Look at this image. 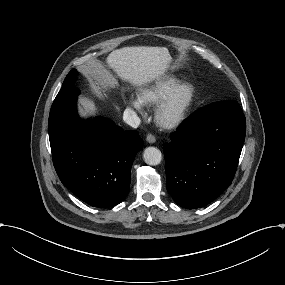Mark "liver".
<instances>
[{
  "instance_id": "liver-1",
  "label": "liver",
  "mask_w": 285,
  "mask_h": 285,
  "mask_svg": "<svg viewBox=\"0 0 285 285\" xmlns=\"http://www.w3.org/2000/svg\"><path fill=\"white\" fill-rule=\"evenodd\" d=\"M171 59L166 48L134 47L116 50L108 58V64L103 60H95L82 67V72L88 75V68L92 67L98 73L116 80L111 67L126 79L134 83H146L164 73L166 63ZM84 110H92L93 105L82 102Z\"/></svg>"
}]
</instances>
